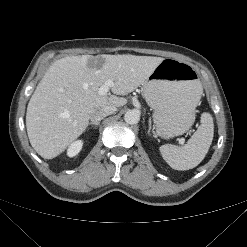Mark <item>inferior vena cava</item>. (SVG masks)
Wrapping results in <instances>:
<instances>
[{
    "label": "inferior vena cava",
    "mask_w": 247,
    "mask_h": 247,
    "mask_svg": "<svg viewBox=\"0 0 247 247\" xmlns=\"http://www.w3.org/2000/svg\"><path fill=\"white\" fill-rule=\"evenodd\" d=\"M117 108L115 106H108L102 110H95L90 115V120L94 123H99L106 116L114 114Z\"/></svg>",
    "instance_id": "inferior-vena-cava-1"
}]
</instances>
